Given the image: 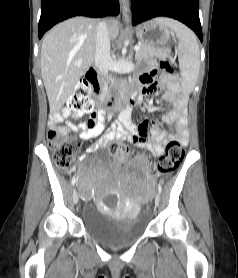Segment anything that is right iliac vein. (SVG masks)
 Wrapping results in <instances>:
<instances>
[{
  "label": "right iliac vein",
  "instance_id": "1",
  "mask_svg": "<svg viewBox=\"0 0 238 278\" xmlns=\"http://www.w3.org/2000/svg\"><path fill=\"white\" fill-rule=\"evenodd\" d=\"M73 200H74V203H77L79 201V196L77 195L76 193V189H73Z\"/></svg>",
  "mask_w": 238,
  "mask_h": 278
}]
</instances>
